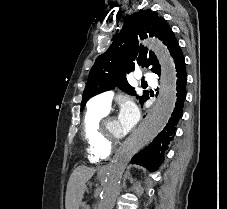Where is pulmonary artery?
I'll list each match as a JSON object with an SVG mask.
<instances>
[{
    "instance_id": "pulmonary-artery-1",
    "label": "pulmonary artery",
    "mask_w": 227,
    "mask_h": 209,
    "mask_svg": "<svg viewBox=\"0 0 227 209\" xmlns=\"http://www.w3.org/2000/svg\"><path fill=\"white\" fill-rule=\"evenodd\" d=\"M152 78H155V73H143V83H152ZM111 98L109 95H93V100H86V105H96L101 109H108Z\"/></svg>"
}]
</instances>
